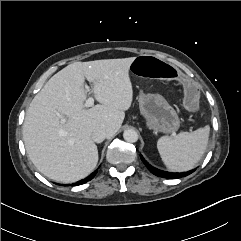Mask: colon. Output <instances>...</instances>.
<instances>
[{
  "mask_svg": "<svg viewBox=\"0 0 241 241\" xmlns=\"http://www.w3.org/2000/svg\"><path fill=\"white\" fill-rule=\"evenodd\" d=\"M130 70L135 75H140L148 79L159 78L160 83L166 87L177 88L185 94V107L190 111L198 108V89L194 86L192 79L177 67L162 61L153 55H139L130 63Z\"/></svg>",
  "mask_w": 241,
  "mask_h": 241,
  "instance_id": "5ec220e1",
  "label": "colon"
}]
</instances>
